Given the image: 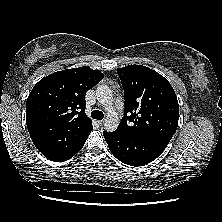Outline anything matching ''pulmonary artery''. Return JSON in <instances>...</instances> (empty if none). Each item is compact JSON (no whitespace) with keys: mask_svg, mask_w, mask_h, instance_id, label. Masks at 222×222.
<instances>
[{"mask_svg":"<svg viewBox=\"0 0 222 222\" xmlns=\"http://www.w3.org/2000/svg\"><path fill=\"white\" fill-rule=\"evenodd\" d=\"M116 109L119 111V112H122L123 111V103L121 100H117L116 101Z\"/></svg>","mask_w":222,"mask_h":222,"instance_id":"pulmonary-artery-1","label":"pulmonary artery"}]
</instances>
